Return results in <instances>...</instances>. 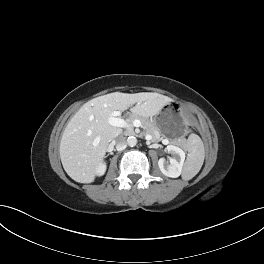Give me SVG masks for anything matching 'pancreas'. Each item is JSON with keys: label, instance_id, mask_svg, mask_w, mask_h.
<instances>
[{"label": "pancreas", "instance_id": "cf45deb5", "mask_svg": "<svg viewBox=\"0 0 264 264\" xmlns=\"http://www.w3.org/2000/svg\"><path fill=\"white\" fill-rule=\"evenodd\" d=\"M135 119H139L141 121V123L143 125V128L145 130V133L152 135L153 140H162L163 139L161 137V134H160V131H159L158 127L154 123L150 122L149 120H147V119H145V118H143V117H141V116H139L137 114H133L127 120L128 124L131 126L130 129H129L130 131H132V124H133V121Z\"/></svg>", "mask_w": 264, "mask_h": 264}]
</instances>
